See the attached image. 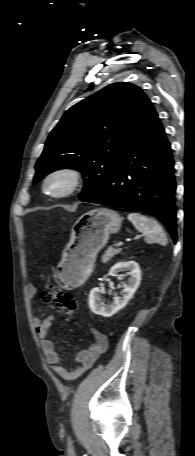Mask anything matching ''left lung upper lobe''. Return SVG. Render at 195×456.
I'll return each mask as SVG.
<instances>
[{
    "instance_id": "5c2ea615",
    "label": "left lung upper lobe",
    "mask_w": 195,
    "mask_h": 456,
    "mask_svg": "<svg viewBox=\"0 0 195 456\" xmlns=\"http://www.w3.org/2000/svg\"><path fill=\"white\" fill-rule=\"evenodd\" d=\"M152 108L137 86L111 84L72 106L52 130L38 159L34 183L64 168L83 174L80 199L95 193L114 168L134 129Z\"/></svg>"
}]
</instances>
